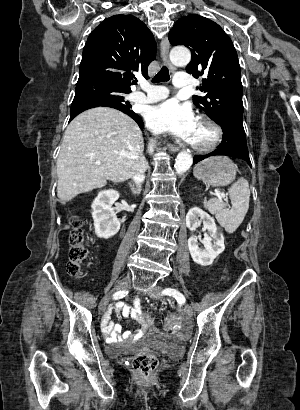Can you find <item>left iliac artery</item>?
Segmentation results:
<instances>
[{
	"instance_id": "obj_1",
	"label": "left iliac artery",
	"mask_w": 300,
	"mask_h": 410,
	"mask_svg": "<svg viewBox=\"0 0 300 410\" xmlns=\"http://www.w3.org/2000/svg\"><path fill=\"white\" fill-rule=\"evenodd\" d=\"M162 294L173 296L177 301L185 303V297L179 291L173 288H166L162 291Z\"/></svg>"
}]
</instances>
